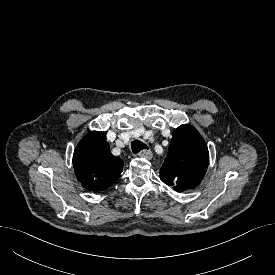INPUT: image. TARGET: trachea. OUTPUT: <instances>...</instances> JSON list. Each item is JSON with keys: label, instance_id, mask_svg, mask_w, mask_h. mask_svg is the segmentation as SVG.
Masks as SVG:
<instances>
[{"label": "trachea", "instance_id": "trachea-1", "mask_svg": "<svg viewBox=\"0 0 275 275\" xmlns=\"http://www.w3.org/2000/svg\"><path fill=\"white\" fill-rule=\"evenodd\" d=\"M132 152L134 154L139 153L143 149H148V146L139 140H134L131 143Z\"/></svg>", "mask_w": 275, "mask_h": 275}]
</instances>
